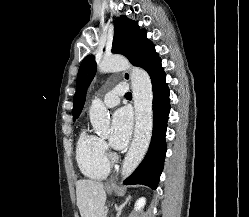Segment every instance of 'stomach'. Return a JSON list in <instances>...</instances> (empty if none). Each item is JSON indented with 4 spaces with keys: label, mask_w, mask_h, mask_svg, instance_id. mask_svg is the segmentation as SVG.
Segmentation results:
<instances>
[{
    "label": "stomach",
    "mask_w": 249,
    "mask_h": 217,
    "mask_svg": "<svg viewBox=\"0 0 249 217\" xmlns=\"http://www.w3.org/2000/svg\"><path fill=\"white\" fill-rule=\"evenodd\" d=\"M116 189H117L116 186H106V190H107V192H109V193L115 191Z\"/></svg>",
    "instance_id": "stomach-1"
}]
</instances>
